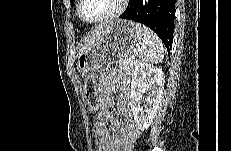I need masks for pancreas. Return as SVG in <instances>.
<instances>
[{
  "label": "pancreas",
  "instance_id": "1",
  "mask_svg": "<svg viewBox=\"0 0 231 151\" xmlns=\"http://www.w3.org/2000/svg\"><path fill=\"white\" fill-rule=\"evenodd\" d=\"M120 69L128 75H132L135 65L133 63H125L124 61L119 62Z\"/></svg>",
  "mask_w": 231,
  "mask_h": 151
}]
</instances>
